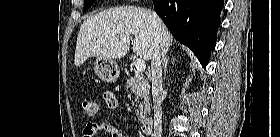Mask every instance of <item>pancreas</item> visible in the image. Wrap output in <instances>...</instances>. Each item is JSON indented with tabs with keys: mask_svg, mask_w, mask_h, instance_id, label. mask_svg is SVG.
Returning a JSON list of instances; mask_svg holds the SVG:
<instances>
[{
	"mask_svg": "<svg viewBox=\"0 0 280 137\" xmlns=\"http://www.w3.org/2000/svg\"><path fill=\"white\" fill-rule=\"evenodd\" d=\"M126 88L135 94V101L138 103L136 106L137 117L140 122H143L146 115L150 112L148 80L141 74L135 73V75L127 81Z\"/></svg>",
	"mask_w": 280,
	"mask_h": 137,
	"instance_id": "obj_1",
	"label": "pancreas"
}]
</instances>
